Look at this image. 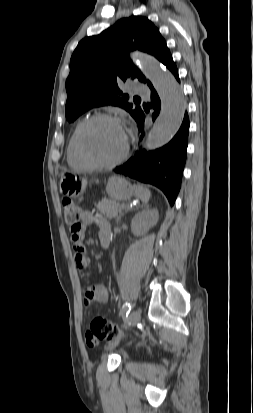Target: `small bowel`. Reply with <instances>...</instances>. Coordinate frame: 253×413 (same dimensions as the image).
Listing matches in <instances>:
<instances>
[{
  "label": "small bowel",
  "instance_id": "obj_1",
  "mask_svg": "<svg viewBox=\"0 0 253 413\" xmlns=\"http://www.w3.org/2000/svg\"><path fill=\"white\" fill-rule=\"evenodd\" d=\"M89 225H95L99 228L100 236L108 235L110 233L109 222L106 217L100 212L93 210H85L81 214V222L75 229L71 228V239L74 245V262L79 270H84L89 266V258L86 256L83 247L84 232ZM96 300L105 304L109 300V293L106 287L101 285H91L85 289L84 303L89 305L91 301ZM88 346L94 347L98 341H89L86 338Z\"/></svg>",
  "mask_w": 253,
  "mask_h": 413
}]
</instances>
